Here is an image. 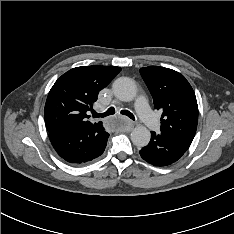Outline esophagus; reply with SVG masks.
<instances>
[{
    "label": "esophagus",
    "mask_w": 234,
    "mask_h": 234,
    "mask_svg": "<svg viewBox=\"0 0 234 234\" xmlns=\"http://www.w3.org/2000/svg\"><path fill=\"white\" fill-rule=\"evenodd\" d=\"M134 127V124L132 122H128L127 126L125 127V130L130 131Z\"/></svg>",
    "instance_id": "esophagus-1"
}]
</instances>
